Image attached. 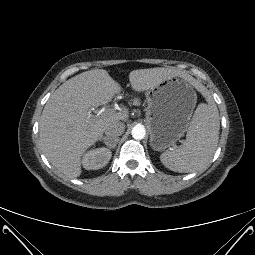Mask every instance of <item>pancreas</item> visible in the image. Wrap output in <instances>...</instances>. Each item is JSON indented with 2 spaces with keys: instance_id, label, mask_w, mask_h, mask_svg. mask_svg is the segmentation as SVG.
<instances>
[{
  "instance_id": "pancreas-1",
  "label": "pancreas",
  "mask_w": 255,
  "mask_h": 255,
  "mask_svg": "<svg viewBox=\"0 0 255 255\" xmlns=\"http://www.w3.org/2000/svg\"><path fill=\"white\" fill-rule=\"evenodd\" d=\"M133 105H140V101L138 99L133 100Z\"/></svg>"
}]
</instances>
